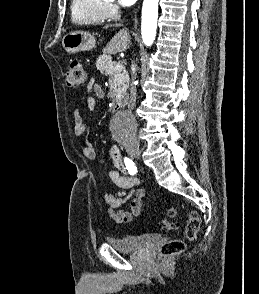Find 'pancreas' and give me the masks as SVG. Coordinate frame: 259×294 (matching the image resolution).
Listing matches in <instances>:
<instances>
[{"label":"pancreas","instance_id":"obj_1","mask_svg":"<svg viewBox=\"0 0 259 294\" xmlns=\"http://www.w3.org/2000/svg\"><path fill=\"white\" fill-rule=\"evenodd\" d=\"M116 63L112 62L110 55H101L96 61V67L101 73H105L117 83L116 102L119 105L124 103V94L128 89L129 76L125 69L115 70Z\"/></svg>","mask_w":259,"mask_h":294}]
</instances>
